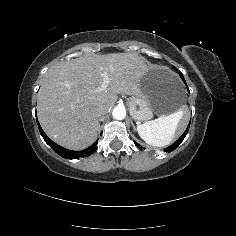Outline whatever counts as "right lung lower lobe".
<instances>
[{
	"instance_id": "98d812e1",
	"label": "right lung lower lobe",
	"mask_w": 236,
	"mask_h": 236,
	"mask_svg": "<svg viewBox=\"0 0 236 236\" xmlns=\"http://www.w3.org/2000/svg\"><path fill=\"white\" fill-rule=\"evenodd\" d=\"M38 123V121H37ZM38 127H39V131L43 137V139L45 140V142L61 157L66 158V159H78L80 157H87L89 155H91L93 152L96 151L97 149V141L91 145L90 147L81 150V151H72V150H68L66 148H63L61 146H59L58 144L54 143L52 140H50L47 135L44 133V131L42 130L41 126L38 123ZM102 135V133H101Z\"/></svg>"
}]
</instances>
